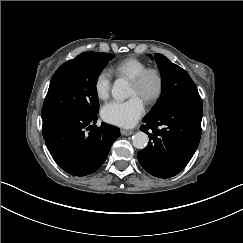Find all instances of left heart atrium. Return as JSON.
I'll use <instances>...</instances> for the list:
<instances>
[{"mask_svg": "<svg viewBox=\"0 0 243 243\" xmlns=\"http://www.w3.org/2000/svg\"><path fill=\"white\" fill-rule=\"evenodd\" d=\"M145 112V102L138 96L133 95L128 100H111L101 108L102 119L117 126H131Z\"/></svg>", "mask_w": 243, "mask_h": 243, "instance_id": "39dd6f15", "label": "left heart atrium"}]
</instances>
